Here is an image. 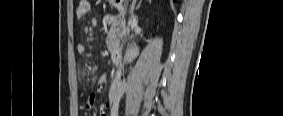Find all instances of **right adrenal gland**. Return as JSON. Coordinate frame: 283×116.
<instances>
[{
  "instance_id": "right-adrenal-gland-1",
  "label": "right adrenal gland",
  "mask_w": 283,
  "mask_h": 116,
  "mask_svg": "<svg viewBox=\"0 0 283 116\" xmlns=\"http://www.w3.org/2000/svg\"><path fill=\"white\" fill-rule=\"evenodd\" d=\"M141 3H142V0L139 1V3H138V5H137L136 9H139V8H140Z\"/></svg>"
}]
</instances>
